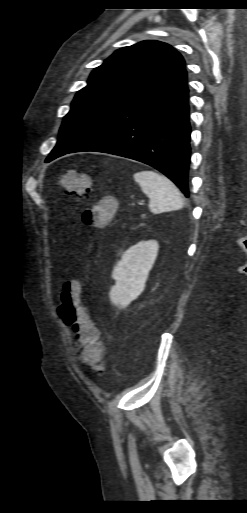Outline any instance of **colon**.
Returning a JSON list of instances; mask_svg holds the SVG:
<instances>
[{
  "instance_id": "colon-1",
  "label": "colon",
  "mask_w": 247,
  "mask_h": 513,
  "mask_svg": "<svg viewBox=\"0 0 247 513\" xmlns=\"http://www.w3.org/2000/svg\"><path fill=\"white\" fill-rule=\"evenodd\" d=\"M62 185L70 195L79 198L87 196L91 191V180L88 175L76 170H68L62 175ZM115 211L116 203L111 197H105L84 212L83 222L97 228H105L111 223ZM81 291L78 280L67 281L61 291L58 310L80 344V361L91 362L94 370L102 373L104 367L100 361L104 358L105 350L98 340L99 330L88 308L81 303Z\"/></svg>"
}]
</instances>
